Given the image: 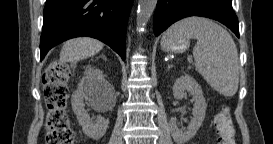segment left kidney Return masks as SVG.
<instances>
[{
	"mask_svg": "<svg viewBox=\"0 0 273 144\" xmlns=\"http://www.w3.org/2000/svg\"><path fill=\"white\" fill-rule=\"evenodd\" d=\"M186 92L193 96L195 101L194 108L192 110V119L185 131L177 127L176 118L170 119V129L172 132L173 139L177 144H185L197 133L198 129L202 125L205 112H206V101L203 96L202 89L197 81L190 75H182L176 79L173 86V96L175 99L180 100Z\"/></svg>",
	"mask_w": 273,
	"mask_h": 144,
	"instance_id": "5707ae66",
	"label": "left kidney"
}]
</instances>
